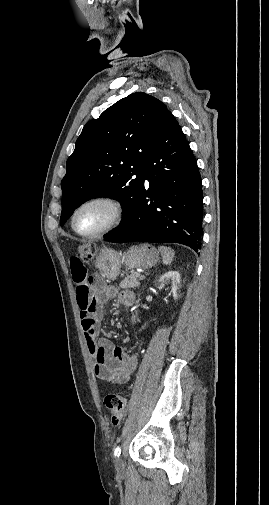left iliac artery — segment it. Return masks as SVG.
I'll return each instance as SVG.
<instances>
[{
    "label": "left iliac artery",
    "mask_w": 269,
    "mask_h": 505,
    "mask_svg": "<svg viewBox=\"0 0 269 505\" xmlns=\"http://www.w3.org/2000/svg\"><path fill=\"white\" fill-rule=\"evenodd\" d=\"M120 453H121V448H120V446H117L114 450V456L118 457L120 455Z\"/></svg>",
    "instance_id": "1"
}]
</instances>
